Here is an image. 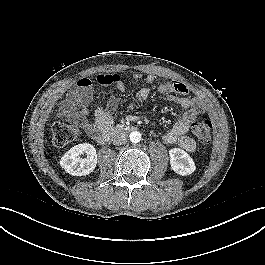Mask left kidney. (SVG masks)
I'll return each instance as SVG.
<instances>
[{"mask_svg":"<svg viewBox=\"0 0 265 265\" xmlns=\"http://www.w3.org/2000/svg\"><path fill=\"white\" fill-rule=\"evenodd\" d=\"M169 156L171 168L175 173L187 176L195 171L196 166L193 159L184 150L172 148L169 150Z\"/></svg>","mask_w":265,"mask_h":265,"instance_id":"left-kidney-1","label":"left kidney"}]
</instances>
